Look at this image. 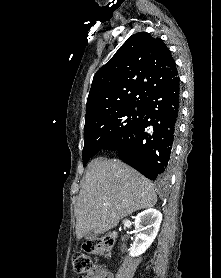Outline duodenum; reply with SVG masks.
Listing matches in <instances>:
<instances>
[{
  "label": "duodenum",
  "instance_id": "duodenum-1",
  "mask_svg": "<svg viewBox=\"0 0 221 278\" xmlns=\"http://www.w3.org/2000/svg\"><path fill=\"white\" fill-rule=\"evenodd\" d=\"M114 238L116 237V235L113 233V234H111Z\"/></svg>",
  "mask_w": 221,
  "mask_h": 278
}]
</instances>
